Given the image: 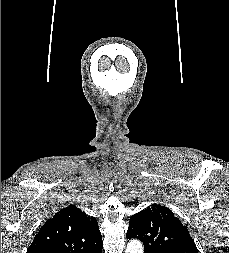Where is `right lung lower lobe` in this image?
Here are the masks:
<instances>
[{
  "label": "right lung lower lobe",
  "mask_w": 229,
  "mask_h": 253,
  "mask_svg": "<svg viewBox=\"0 0 229 253\" xmlns=\"http://www.w3.org/2000/svg\"><path fill=\"white\" fill-rule=\"evenodd\" d=\"M101 251H102V247L99 250L95 251L94 253H101Z\"/></svg>",
  "instance_id": "right-lung-lower-lobe-1"
}]
</instances>
